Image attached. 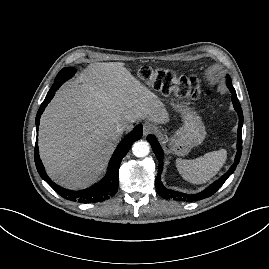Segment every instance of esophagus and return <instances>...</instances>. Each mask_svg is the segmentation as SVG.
<instances>
[{"mask_svg":"<svg viewBox=\"0 0 269 269\" xmlns=\"http://www.w3.org/2000/svg\"><path fill=\"white\" fill-rule=\"evenodd\" d=\"M156 130V127L153 124L150 123H144L143 125V135L147 136L148 134L154 132Z\"/></svg>","mask_w":269,"mask_h":269,"instance_id":"1","label":"esophagus"}]
</instances>
